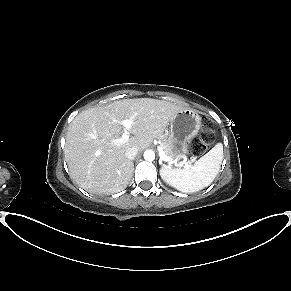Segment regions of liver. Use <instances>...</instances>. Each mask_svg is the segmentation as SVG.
Returning <instances> with one entry per match:
<instances>
[{
  "instance_id": "6515ba94",
  "label": "liver",
  "mask_w": 291,
  "mask_h": 291,
  "mask_svg": "<svg viewBox=\"0 0 291 291\" xmlns=\"http://www.w3.org/2000/svg\"><path fill=\"white\" fill-rule=\"evenodd\" d=\"M184 110L187 108L168 101L136 98L82 111L70 123L66 134L65 159L72 179L91 193L124 190L134 172L132 160L125 156L126 149H146ZM127 119H133L129 133L134 136L115 144L114 140L125 131L120 121Z\"/></svg>"
}]
</instances>
